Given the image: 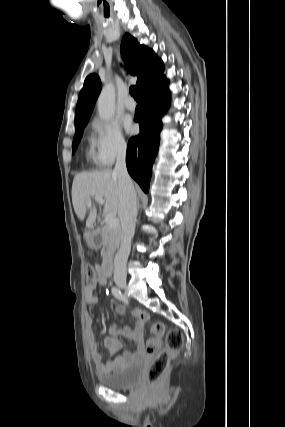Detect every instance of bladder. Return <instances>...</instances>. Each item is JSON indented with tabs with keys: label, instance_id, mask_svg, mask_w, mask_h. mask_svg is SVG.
<instances>
[{
	"label": "bladder",
	"instance_id": "31cf9c89",
	"mask_svg": "<svg viewBox=\"0 0 285 427\" xmlns=\"http://www.w3.org/2000/svg\"><path fill=\"white\" fill-rule=\"evenodd\" d=\"M142 374V363L134 362L120 371L101 373L98 375L99 381L111 389H127L135 386Z\"/></svg>",
	"mask_w": 285,
	"mask_h": 427
}]
</instances>
